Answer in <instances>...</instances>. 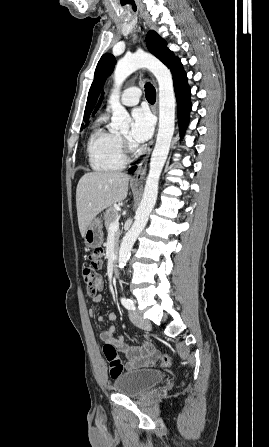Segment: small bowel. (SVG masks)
<instances>
[{"label": "small bowel", "mask_w": 269, "mask_h": 447, "mask_svg": "<svg viewBox=\"0 0 269 447\" xmlns=\"http://www.w3.org/2000/svg\"><path fill=\"white\" fill-rule=\"evenodd\" d=\"M92 301L94 303H99L101 301V296L96 295V296L92 297ZM95 313L96 312L94 309H90L89 314L91 316H94ZM116 318H117V315L114 312H109L107 314L99 315L98 321L100 323H104L107 320L114 321V320H116ZM114 331H115V328L113 326L109 327L107 330L100 333V339L105 343H110V344L114 345L125 355V357L127 358L126 367L128 369L133 370V369H139V368H145V367L152 366L150 363L151 358L158 357L160 354L159 351L157 350L156 346L154 345V343L145 342L142 344L144 347L152 348V350H153L152 355L140 356L138 354L136 356H133L130 353L131 348L136 347L139 349L140 345L130 346V345L126 344L123 336L115 335Z\"/></svg>", "instance_id": "1"}]
</instances>
